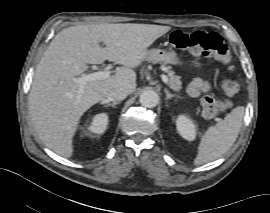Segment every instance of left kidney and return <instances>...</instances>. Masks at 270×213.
<instances>
[{"instance_id":"1","label":"left kidney","mask_w":270,"mask_h":213,"mask_svg":"<svg viewBox=\"0 0 270 213\" xmlns=\"http://www.w3.org/2000/svg\"><path fill=\"white\" fill-rule=\"evenodd\" d=\"M178 133L186 140L193 141L196 137V125L186 115H179L176 120Z\"/></svg>"}]
</instances>
